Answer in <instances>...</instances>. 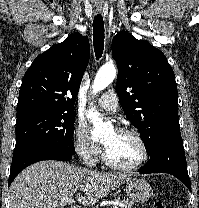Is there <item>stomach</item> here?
Listing matches in <instances>:
<instances>
[{
	"mask_svg": "<svg viewBox=\"0 0 199 208\" xmlns=\"http://www.w3.org/2000/svg\"><path fill=\"white\" fill-rule=\"evenodd\" d=\"M126 194L135 202H145L153 195V190L145 180L132 178L126 182Z\"/></svg>",
	"mask_w": 199,
	"mask_h": 208,
	"instance_id": "obj_1",
	"label": "stomach"
}]
</instances>
